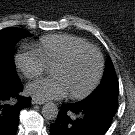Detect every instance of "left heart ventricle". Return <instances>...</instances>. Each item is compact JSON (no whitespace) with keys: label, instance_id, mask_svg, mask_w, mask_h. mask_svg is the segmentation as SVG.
<instances>
[{"label":"left heart ventricle","instance_id":"1","mask_svg":"<svg viewBox=\"0 0 135 135\" xmlns=\"http://www.w3.org/2000/svg\"><path fill=\"white\" fill-rule=\"evenodd\" d=\"M98 68V58L94 52L80 53L68 65L51 70L53 77L60 78L69 93L83 92L93 81Z\"/></svg>","mask_w":135,"mask_h":135}]
</instances>
